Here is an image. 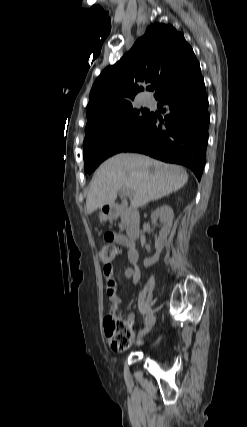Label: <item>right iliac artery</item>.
I'll list each match as a JSON object with an SVG mask.
<instances>
[{
  "label": "right iliac artery",
  "mask_w": 247,
  "mask_h": 427,
  "mask_svg": "<svg viewBox=\"0 0 247 427\" xmlns=\"http://www.w3.org/2000/svg\"><path fill=\"white\" fill-rule=\"evenodd\" d=\"M150 316H151V313H148L147 316H146V318H145V323L148 321V319L150 318Z\"/></svg>",
  "instance_id": "82829eb1"
}]
</instances>
